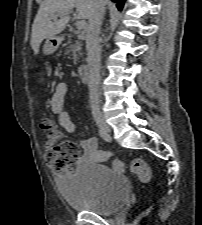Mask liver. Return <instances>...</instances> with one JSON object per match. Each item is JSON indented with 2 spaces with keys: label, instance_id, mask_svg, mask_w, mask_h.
Instances as JSON below:
<instances>
[{
  "label": "liver",
  "instance_id": "liver-1",
  "mask_svg": "<svg viewBox=\"0 0 202 225\" xmlns=\"http://www.w3.org/2000/svg\"><path fill=\"white\" fill-rule=\"evenodd\" d=\"M95 0H44L32 25L31 47L35 54L46 38L54 37L61 33L70 20L69 12L76 8L79 19H89L94 10ZM53 15H62L54 19Z\"/></svg>",
  "mask_w": 202,
  "mask_h": 225
}]
</instances>
